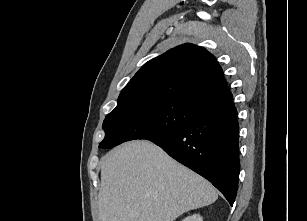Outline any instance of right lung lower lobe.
<instances>
[{
    "label": "right lung lower lobe",
    "instance_id": "right-lung-lower-lobe-1",
    "mask_svg": "<svg viewBox=\"0 0 307 221\" xmlns=\"http://www.w3.org/2000/svg\"><path fill=\"white\" fill-rule=\"evenodd\" d=\"M209 180L232 205L238 188L239 125L232 99L208 107L186 126L148 139Z\"/></svg>",
    "mask_w": 307,
    "mask_h": 221
}]
</instances>
